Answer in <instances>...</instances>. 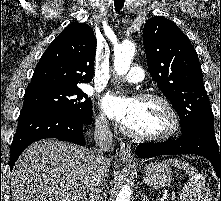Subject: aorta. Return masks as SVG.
<instances>
[{"instance_id": "obj_1", "label": "aorta", "mask_w": 221, "mask_h": 201, "mask_svg": "<svg viewBox=\"0 0 221 201\" xmlns=\"http://www.w3.org/2000/svg\"><path fill=\"white\" fill-rule=\"evenodd\" d=\"M135 44L124 42L114 50V68L118 75H124L130 68V62L135 54ZM131 189L129 185H124L118 193L115 201H130Z\"/></svg>"}]
</instances>
